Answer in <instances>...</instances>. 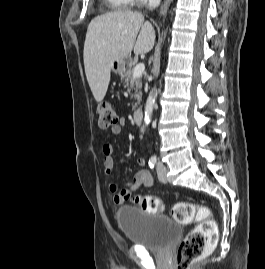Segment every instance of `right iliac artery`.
<instances>
[{"instance_id": "82829eb1", "label": "right iliac artery", "mask_w": 265, "mask_h": 269, "mask_svg": "<svg viewBox=\"0 0 265 269\" xmlns=\"http://www.w3.org/2000/svg\"><path fill=\"white\" fill-rule=\"evenodd\" d=\"M156 162H157V157H156V156H152V157L149 159V162H148L149 167H150V168H153V167L155 166Z\"/></svg>"}]
</instances>
